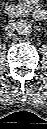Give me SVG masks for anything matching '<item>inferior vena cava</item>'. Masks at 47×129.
<instances>
[{
	"mask_svg": "<svg viewBox=\"0 0 47 129\" xmlns=\"http://www.w3.org/2000/svg\"><path fill=\"white\" fill-rule=\"evenodd\" d=\"M14 28H15L14 21H10L9 24L5 28V31L7 34H11L14 31Z\"/></svg>",
	"mask_w": 47,
	"mask_h": 129,
	"instance_id": "obj_1",
	"label": "inferior vena cava"
}]
</instances>
